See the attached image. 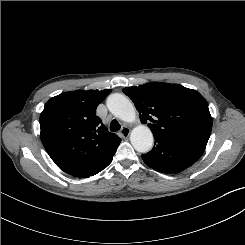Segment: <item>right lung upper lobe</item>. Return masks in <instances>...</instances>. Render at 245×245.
<instances>
[{
    "label": "right lung upper lobe",
    "mask_w": 245,
    "mask_h": 245,
    "mask_svg": "<svg viewBox=\"0 0 245 245\" xmlns=\"http://www.w3.org/2000/svg\"><path fill=\"white\" fill-rule=\"evenodd\" d=\"M111 89L64 92L40 115L41 141L56 165L75 177H90L112 161L121 139L96 115Z\"/></svg>",
    "instance_id": "obj_1"
}]
</instances>
